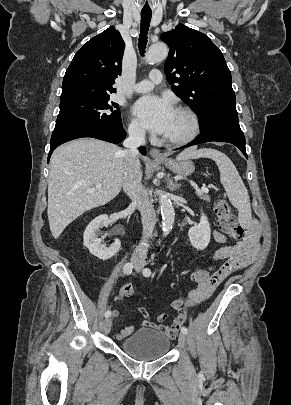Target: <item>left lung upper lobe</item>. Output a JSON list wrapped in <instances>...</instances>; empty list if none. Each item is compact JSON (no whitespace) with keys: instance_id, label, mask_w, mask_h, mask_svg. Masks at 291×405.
<instances>
[{"instance_id":"5c2ea615","label":"left lung upper lobe","mask_w":291,"mask_h":405,"mask_svg":"<svg viewBox=\"0 0 291 405\" xmlns=\"http://www.w3.org/2000/svg\"><path fill=\"white\" fill-rule=\"evenodd\" d=\"M161 39L170 48L164 65L167 80L177 96L196 112L200 129H207L223 114L238 117L230 70L210 38L179 24Z\"/></svg>"}]
</instances>
